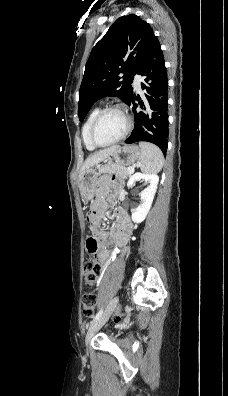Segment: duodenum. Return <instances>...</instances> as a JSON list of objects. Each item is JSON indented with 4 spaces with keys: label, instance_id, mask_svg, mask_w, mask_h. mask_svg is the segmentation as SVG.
I'll use <instances>...</instances> for the list:
<instances>
[{
    "label": "duodenum",
    "instance_id": "obj_1",
    "mask_svg": "<svg viewBox=\"0 0 228 396\" xmlns=\"http://www.w3.org/2000/svg\"><path fill=\"white\" fill-rule=\"evenodd\" d=\"M116 230L121 239L129 235L131 226L123 217L119 216L117 217Z\"/></svg>",
    "mask_w": 228,
    "mask_h": 396
}]
</instances>
